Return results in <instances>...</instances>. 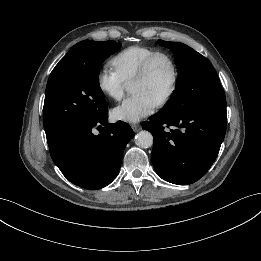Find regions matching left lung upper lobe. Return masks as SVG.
<instances>
[{
	"label": "left lung upper lobe",
	"instance_id": "1",
	"mask_svg": "<svg viewBox=\"0 0 261 261\" xmlns=\"http://www.w3.org/2000/svg\"><path fill=\"white\" fill-rule=\"evenodd\" d=\"M176 58V90L162 112L183 115L202 107L226 104L225 94L211 62L189 46L159 40Z\"/></svg>",
	"mask_w": 261,
	"mask_h": 261
}]
</instances>
